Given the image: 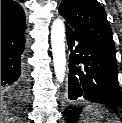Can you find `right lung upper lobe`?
<instances>
[{"label":"right lung upper lobe","mask_w":122,"mask_h":123,"mask_svg":"<svg viewBox=\"0 0 122 123\" xmlns=\"http://www.w3.org/2000/svg\"><path fill=\"white\" fill-rule=\"evenodd\" d=\"M11 26L19 29L26 28L25 13L15 1L1 2V27Z\"/></svg>","instance_id":"1"}]
</instances>
